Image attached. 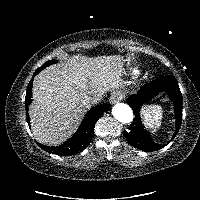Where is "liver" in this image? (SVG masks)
Returning a JSON list of instances; mask_svg holds the SVG:
<instances>
[{"mask_svg":"<svg viewBox=\"0 0 200 200\" xmlns=\"http://www.w3.org/2000/svg\"><path fill=\"white\" fill-rule=\"evenodd\" d=\"M124 61L120 55H75L41 71L34 79L29 108L35 139L47 145L67 140L84 115V95L99 101L107 91L123 86Z\"/></svg>","mask_w":200,"mask_h":200,"instance_id":"obj_1","label":"liver"}]
</instances>
